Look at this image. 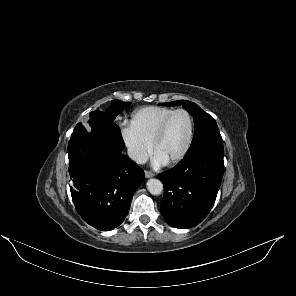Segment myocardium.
I'll return each instance as SVG.
<instances>
[{"mask_svg": "<svg viewBox=\"0 0 296 296\" xmlns=\"http://www.w3.org/2000/svg\"><path fill=\"white\" fill-rule=\"evenodd\" d=\"M178 113H184L189 118V122H190L189 137H188V141H187L184 149L182 150V152L178 156L173 158L171 161L167 162L166 163L167 165H175V164L179 163L180 161H182L187 156L188 152L190 151L192 143H193V139H194V133H195L194 117L191 114V112H189L188 110L183 109V108H179V109H176L173 112H171L160 124V126L155 134V137L151 143L152 152L155 153L156 147H157L158 143L162 140L170 121Z\"/></svg>", "mask_w": 296, "mask_h": 296, "instance_id": "myocardium-1", "label": "myocardium"}]
</instances>
